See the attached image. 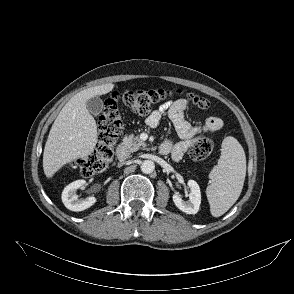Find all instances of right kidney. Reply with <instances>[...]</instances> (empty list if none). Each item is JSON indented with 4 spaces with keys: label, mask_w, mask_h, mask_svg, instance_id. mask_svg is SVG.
I'll use <instances>...</instances> for the list:
<instances>
[{
    "label": "right kidney",
    "mask_w": 294,
    "mask_h": 294,
    "mask_svg": "<svg viewBox=\"0 0 294 294\" xmlns=\"http://www.w3.org/2000/svg\"><path fill=\"white\" fill-rule=\"evenodd\" d=\"M85 184V180H76L64 188L62 192V202L67 209L78 212L83 211L95 204L96 198L93 196L87 197L85 199L78 198L76 191Z\"/></svg>",
    "instance_id": "obj_1"
}]
</instances>
